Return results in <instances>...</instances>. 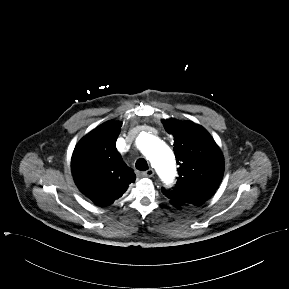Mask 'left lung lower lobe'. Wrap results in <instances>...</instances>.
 I'll return each mask as SVG.
<instances>
[{
  "label": "left lung lower lobe",
  "mask_w": 289,
  "mask_h": 289,
  "mask_svg": "<svg viewBox=\"0 0 289 289\" xmlns=\"http://www.w3.org/2000/svg\"><path fill=\"white\" fill-rule=\"evenodd\" d=\"M170 203L177 208H179L180 206H187L186 204H181V203L173 201V200H171Z\"/></svg>",
  "instance_id": "left-lung-lower-lobe-1"
}]
</instances>
